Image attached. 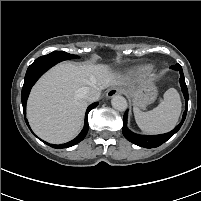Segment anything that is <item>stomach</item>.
I'll use <instances>...</instances> for the list:
<instances>
[{"label": "stomach", "instance_id": "1", "mask_svg": "<svg viewBox=\"0 0 201 201\" xmlns=\"http://www.w3.org/2000/svg\"><path fill=\"white\" fill-rule=\"evenodd\" d=\"M123 92L132 98L135 106L140 108L152 103L157 96V89L150 80L142 81L137 85L125 86Z\"/></svg>", "mask_w": 201, "mask_h": 201}]
</instances>
